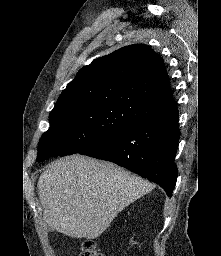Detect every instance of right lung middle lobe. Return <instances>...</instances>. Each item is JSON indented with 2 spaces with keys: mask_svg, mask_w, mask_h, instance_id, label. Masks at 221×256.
I'll list each match as a JSON object with an SVG mask.
<instances>
[{
  "mask_svg": "<svg viewBox=\"0 0 221 256\" xmlns=\"http://www.w3.org/2000/svg\"><path fill=\"white\" fill-rule=\"evenodd\" d=\"M141 119L139 114L111 104L51 112L50 128L40 139L37 161L78 153L110 133Z\"/></svg>",
  "mask_w": 221,
  "mask_h": 256,
  "instance_id": "1",
  "label": "right lung middle lobe"
}]
</instances>
